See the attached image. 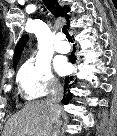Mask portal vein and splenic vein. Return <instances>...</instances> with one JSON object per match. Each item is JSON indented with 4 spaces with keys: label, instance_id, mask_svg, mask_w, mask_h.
Wrapping results in <instances>:
<instances>
[{
    "label": "portal vein and splenic vein",
    "instance_id": "1",
    "mask_svg": "<svg viewBox=\"0 0 117 136\" xmlns=\"http://www.w3.org/2000/svg\"><path fill=\"white\" fill-rule=\"evenodd\" d=\"M28 136H33V134H29Z\"/></svg>",
    "mask_w": 117,
    "mask_h": 136
}]
</instances>
